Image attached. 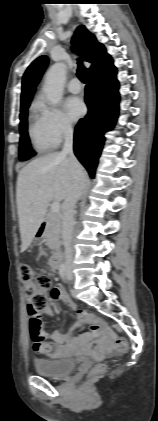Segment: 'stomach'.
<instances>
[{"mask_svg": "<svg viewBox=\"0 0 158 421\" xmlns=\"http://www.w3.org/2000/svg\"><path fill=\"white\" fill-rule=\"evenodd\" d=\"M40 227H41V226H40ZM40 227H39V228H40ZM38 230H40V229H38ZM40 234H41V233H40L39 231H37L36 236H40Z\"/></svg>", "mask_w": 158, "mask_h": 421, "instance_id": "obj_1", "label": "stomach"}]
</instances>
